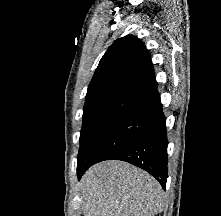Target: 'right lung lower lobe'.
<instances>
[{
  "mask_svg": "<svg viewBox=\"0 0 221 216\" xmlns=\"http://www.w3.org/2000/svg\"><path fill=\"white\" fill-rule=\"evenodd\" d=\"M167 136L161 104L149 114L144 130L132 141L115 150L105 160H122L140 167L158 180L165 189L167 178ZM77 167L78 178L92 166Z\"/></svg>",
  "mask_w": 221,
  "mask_h": 216,
  "instance_id": "right-lung-lower-lobe-1",
  "label": "right lung lower lobe"
}]
</instances>
